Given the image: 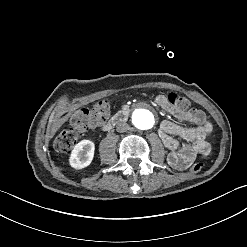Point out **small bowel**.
Returning <instances> with one entry per match:
<instances>
[{
    "instance_id": "obj_1",
    "label": "small bowel",
    "mask_w": 247,
    "mask_h": 247,
    "mask_svg": "<svg viewBox=\"0 0 247 247\" xmlns=\"http://www.w3.org/2000/svg\"><path fill=\"white\" fill-rule=\"evenodd\" d=\"M157 101L178 121L195 124L194 127H186L166 120L161 122L158 130L164 146L169 150L167 157L169 165L176 170H185L196 158L206 157L210 153L211 148L206 137L211 132H208V128L212 130V126L202 110L175 108L163 96L158 97ZM174 136L181 138L183 143Z\"/></svg>"
}]
</instances>
